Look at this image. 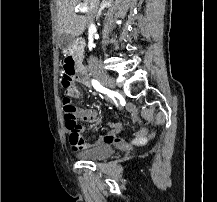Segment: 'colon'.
<instances>
[{
    "mask_svg": "<svg viewBox=\"0 0 217 202\" xmlns=\"http://www.w3.org/2000/svg\"><path fill=\"white\" fill-rule=\"evenodd\" d=\"M63 111L62 116L65 118L67 128L69 130L80 131L81 125L75 118L74 106L71 103L70 95L67 90L63 91Z\"/></svg>",
    "mask_w": 217,
    "mask_h": 202,
    "instance_id": "1",
    "label": "colon"
}]
</instances>
